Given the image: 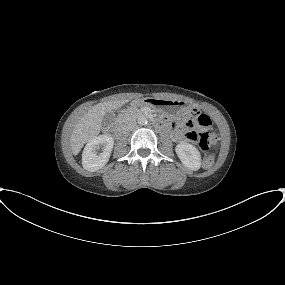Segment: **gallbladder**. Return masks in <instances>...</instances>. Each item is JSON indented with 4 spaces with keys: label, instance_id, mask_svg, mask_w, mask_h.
Segmentation results:
<instances>
[{
    "label": "gallbladder",
    "instance_id": "obj_1",
    "mask_svg": "<svg viewBox=\"0 0 285 285\" xmlns=\"http://www.w3.org/2000/svg\"><path fill=\"white\" fill-rule=\"evenodd\" d=\"M114 120H115V113L113 111H108L104 115L102 122L105 126H107L112 124Z\"/></svg>",
    "mask_w": 285,
    "mask_h": 285
}]
</instances>
